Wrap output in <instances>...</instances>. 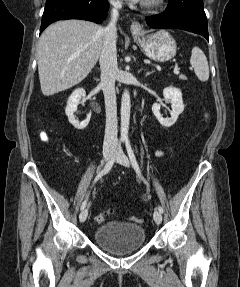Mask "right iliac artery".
<instances>
[{
    "instance_id": "1",
    "label": "right iliac artery",
    "mask_w": 240,
    "mask_h": 287,
    "mask_svg": "<svg viewBox=\"0 0 240 287\" xmlns=\"http://www.w3.org/2000/svg\"><path fill=\"white\" fill-rule=\"evenodd\" d=\"M119 148H120V143L118 145V148L117 150L115 151L114 153V156L111 158V160L106 164V166L104 167V169L98 173V175L96 176L95 180H94V183H96L100 178H102L103 175L107 174L110 169L112 168L114 162H115V157L116 155L118 154V151H119ZM87 200H88V196L85 198V200L83 201L82 205H81V210H83L86 205H87Z\"/></svg>"
}]
</instances>
